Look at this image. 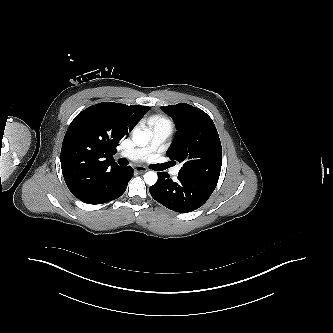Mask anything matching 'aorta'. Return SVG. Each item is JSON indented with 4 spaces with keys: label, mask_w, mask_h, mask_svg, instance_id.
<instances>
[{
    "label": "aorta",
    "mask_w": 333,
    "mask_h": 333,
    "mask_svg": "<svg viewBox=\"0 0 333 333\" xmlns=\"http://www.w3.org/2000/svg\"><path fill=\"white\" fill-rule=\"evenodd\" d=\"M133 142L137 146H145L149 141V135L145 131L140 129H135L132 136ZM157 173L154 171L146 172L144 175V181L147 185L152 186L157 182Z\"/></svg>",
    "instance_id": "1"
}]
</instances>
